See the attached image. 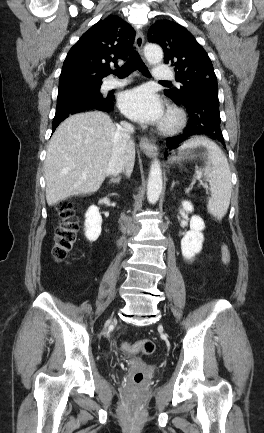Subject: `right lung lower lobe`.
<instances>
[{"instance_id": "obj_1", "label": "right lung lower lobe", "mask_w": 264, "mask_h": 433, "mask_svg": "<svg viewBox=\"0 0 264 433\" xmlns=\"http://www.w3.org/2000/svg\"><path fill=\"white\" fill-rule=\"evenodd\" d=\"M114 95H99L84 91H75L62 100H57L55 117L52 124V132L70 114L79 113L87 110H100L110 112L114 109ZM60 102V104L58 103Z\"/></svg>"}]
</instances>
